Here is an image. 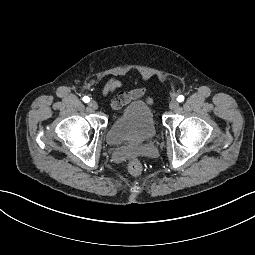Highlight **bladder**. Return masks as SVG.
Segmentation results:
<instances>
[{
  "label": "bladder",
  "mask_w": 255,
  "mask_h": 255,
  "mask_svg": "<svg viewBox=\"0 0 255 255\" xmlns=\"http://www.w3.org/2000/svg\"><path fill=\"white\" fill-rule=\"evenodd\" d=\"M156 134L152 109L143 100H133L110 123L107 141L114 146L135 144L149 141Z\"/></svg>",
  "instance_id": "31cf9c89"
}]
</instances>
